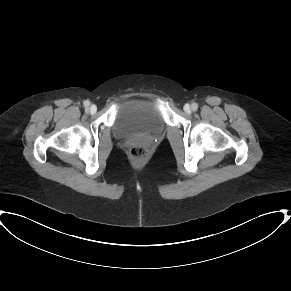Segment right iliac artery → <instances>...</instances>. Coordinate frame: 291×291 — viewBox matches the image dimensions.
<instances>
[{
    "instance_id": "obj_1",
    "label": "right iliac artery",
    "mask_w": 291,
    "mask_h": 291,
    "mask_svg": "<svg viewBox=\"0 0 291 291\" xmlns=\"http://www.w3.org/2000/svg\"><path fill=\"white\" fill-rule=\"evenodd\" d=\"M89 105H90V102H89V101H85V102H84V106H85L86 108H88Z\"/></svg>"
}]
</instances>
